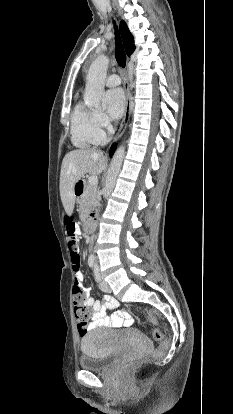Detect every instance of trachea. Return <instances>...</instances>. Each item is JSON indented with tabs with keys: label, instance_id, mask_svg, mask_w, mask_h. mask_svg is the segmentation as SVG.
Here are the masks:
<instances>
[{
	"label": "trachea",
	"instance_id": "trachea-1",
	"mask_svg": "<svg viewBox=\"0 0 233 414\" xmlns=\"http://www.w3.org/2000/svg\"><path fill=\"white\" fill-rule=\"evenodd\" d=\"M115 28V57L117 60V63L120 67L124 68L126 64V55L122 46V42L120 40L119 32L117 30V26H114Z\"/></svg>",
	"mask_w": 233,
	"mask_h": 414
}]
</instances>
